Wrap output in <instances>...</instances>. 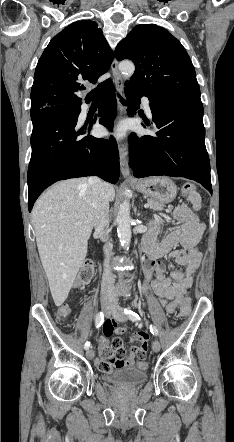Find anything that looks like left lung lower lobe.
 Returning <instances> with one entry per match:
<instances>
[{
	"mask_svg": "<svg viewBox=\"0 0 234 442\" xmlns=\"http://www.w3.org/2000/svg\"><path fill=\"white\" fill-rule=\"evenodd\" d=\"M125 95L133 116L140 97L150 101L156 136L129 137V164L137 178L154 175L185 177L201 183L212 193L210 162L205 147L203 105L198 97H151L130 85ZM150 126L149 123H145ZM145 127V125H144Z\"/></svg>",
	"mask_w": 234,
	"mask_h": 442,
	"instance_id": "left-lung-lower-lobe-1",
	"label": "left lung lower lobe"
}]
</instances>
